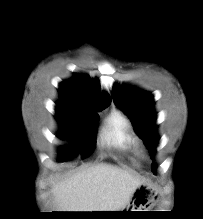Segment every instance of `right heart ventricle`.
Masks as SVG:
<instances>
[{
    "mask_svg": "<svg viewBox=\"0 0 203 219\" xmlns=\"http://www.w3.org/2000/svg\"><path fill=\"white\" fill-rule=\"evenodd\" d=\"M103 142L110 147L125 153L137 152V141L133 136L128 119L119 111L108 117L104 130Z\"/></svg>",
    "mask_w": 203,
    "mask_h": 219,
    "instance_id": "1",
    "label": "right heart ventricle"
}]
</instances>
